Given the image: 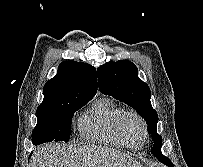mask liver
<instances>
[{
	"instance_id": "obj_1",
	"label": "liver",
	"mask_w": 203,
	"mask_h": 167,
	"mask_svg": "<svg viewBox=\"0 0 203 167\" xmlns=\"http://www.w3.org/2000/svg\"><path fill=\"white\" fill-rule=\"evenodd\" d=\"M30 167H142L132 157L102 147H75L60 143L42 146Z\"/></svg>"
}]
</instances>
